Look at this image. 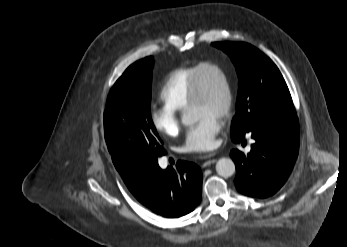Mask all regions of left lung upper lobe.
<instances>
[{
  "instance_id": "left-lung-upper-lobe-1",
  "label": "left lung upper lobe",
  "mask_w": 347,
  "mask_h": 247,
  "mask_svg": "<svg viewBox=\"0 0 347 247\" xmlns=\"http://www.w3.org/2000/svg\"><path fill=\"white\" fill-rule=\"evenodd\" d=\"M212 44L230 56L239 78L237 111L231 134L248 132L251 127L272 117L296 116L286 82L265 54L242 42Z\"/></svg>"
}]
</instances>
